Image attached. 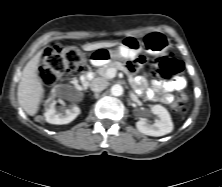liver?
Returning <instances> with one entry per match:
<instances>
[{"label": "liver", "mask_w": 222, "mask_h": 187, "mask_svg": "<svg viewBox=\"0 0 222 187\" xmlns=\"http://www.w3.org/2000/svg\"><path fill=\"white\" fill-rule=\"evenodd\" d=\"M117 42H97L83 45L85 51H92L99 48L113 47ZM43 50L39 51L24 67L18 85V102L24 111L34 116L39 109L43 97V87L38 79L37 70Z\"/></svg>", "instance_id": "6515ba94"}]
</instances>
